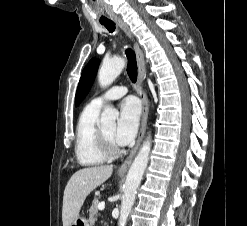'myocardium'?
I'll list each match as a JSON object with an SVG mask.
<instances>
[{"label":"myocardium","instance_id":"1","mask_svg":"<svg viewBox=\"0 0 247 226\" xmlns=\"http://www.w3.org/2000/svg\"><path fill=\"white\" fill-rule=\"evenodd\" d=\"M96 144L99 152L105 159H112L120 154V148L118 145H111L105 137L101 128H98L96 134Z\"/></svg>","mask_w":247,"mask_h":226}]
</instances>
